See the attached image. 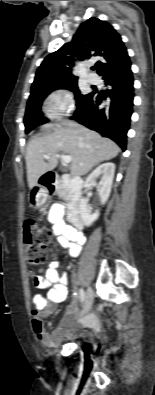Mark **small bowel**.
Instances as JSON below:
<instances>
[{"mask_svg": "<svg viewBox=\"0 0 155 395\" xmlns=\"http://www.w3.org/2000/svg\"><path fill=\"white\" fill-rule=\"evenodd\" d=\"M64 208L60 204L53 205L47 214V220L53 225V232L62 247L68 250L73 257H78L85 243V237L79 231L69 227L63 221ZM59 263L54 261L46 270L41 279H31L30 288L37 294L33 297L32 328L38 340L47 347H56L63 341L77 336L81 327L98 330L99 322L95 315H87L76 325L70 326L76 315V307H67L65 315L54 332L49 333L44 323V317L55 310V305L62 303L68 295V276L58 273ZM48 290L47 294L43 296ZM84 337H89L90 332L84 331Z\"/></svg>", "mask_w": 155, "mask_h": 395, "instance_id": "c3829d8e", "label": "small bowel"}]
</instances>
